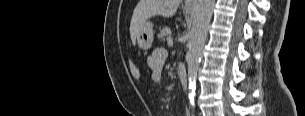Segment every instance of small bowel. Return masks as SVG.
<instances>
[{
  "label": "small bowel",
  "instance_id": "obj_1",
  "mask_svg": "<svg viewBox=\"0 0 305 116\" xmlns=\"http://www.w3.org/2000/svg\"><path fill=\"white\" fill-rule=\"evenodd\" d=\"M167 58V52L163 48L155 49L147 58V63L152 71V81L160 84L163 79V67Z\"/></svg>",
  "mask_w": 305,
  "mask_h": 116
}]
</instances>
